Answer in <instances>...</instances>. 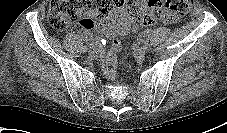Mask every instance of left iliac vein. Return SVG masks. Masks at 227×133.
Here are the masks:
<instances>
[{"mask_svg":"<svg viewBox=\"0 0 227 133\" xmlns=\"http://www.w3.org/2000/svg\"><path fill=\"white\" fill-rule=\"evenodd\" d=\"M135 55L139 59H143L146 55V49L144 48H139L135 50Z\"/></svg>","mask_w":227,"mask_h":133,"instance_id":"4c4485c4","label":"left iliac vein"}]
</instances>
